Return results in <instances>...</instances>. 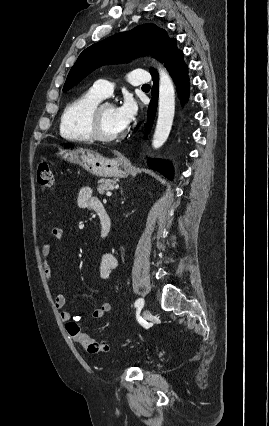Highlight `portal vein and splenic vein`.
<instances>
[{"label": "portal vein and splenic vein", "instance_id": "18ae733b", "mask_svg": "<svg viewBox=\"0 0 269 426\" xmlns=\"http://www.w3.org/2000/svg\"><path fill=\"white\" fill-rule=\"evenodd\" d=\"M112 195V193L111 192H107L106 193V196H111Z\"/></svg>", "mask_w": 269, "mask_h": 426}]
</instances>
